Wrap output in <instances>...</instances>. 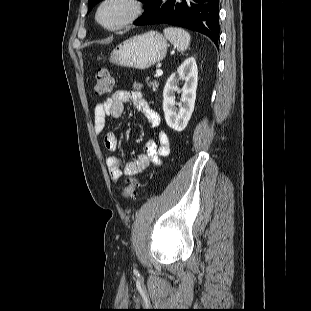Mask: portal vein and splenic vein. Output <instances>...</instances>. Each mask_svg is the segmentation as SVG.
Segmentation results:
<instances>
[{
	"label": "portal vein and splenic vein",
	"instance_id": "18ae733b",
	"mask_svg": "<svg viewBox=\"0 0 311 311\" xmlns=\"http://www.w3.org/2000/svg\"><path fill=\"white\" fill-rule=\"evenodd\" d=\"M163 75V71L161 69L156 70V76H162Z\"/></svg>",
	"mask_w": 311,
	"mask_h": 311
}]
</instances>
